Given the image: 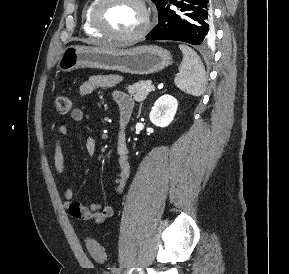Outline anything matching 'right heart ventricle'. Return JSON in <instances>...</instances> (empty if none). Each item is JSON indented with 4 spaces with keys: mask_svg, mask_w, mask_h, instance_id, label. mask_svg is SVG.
<instances>
[{
    "mask_svg": "<svg viewBox=\"0 0 289 274\" xmlns=\"http://www.w3.org/2000/svg\"><path fill=\"white\" fill-rule=\"evenodd\" d=\"M96 0H90L84 7L82 13V27L84 32L89 36L102 37V34L97 31L91 22V11Z\"/></svg>",
    "mask_w": 289,
    "mask_h": 274,
    "instance_id": "1",
    "label": "right heart ventricle"
}]
</instances>
